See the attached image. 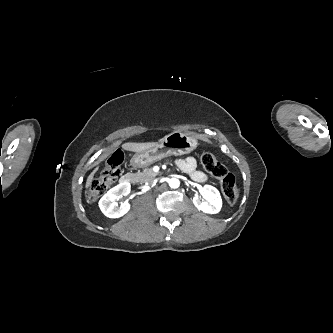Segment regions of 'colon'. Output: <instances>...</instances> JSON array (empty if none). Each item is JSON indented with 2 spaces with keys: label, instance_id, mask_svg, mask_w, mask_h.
Returning <instances> with one entry per match:
<instances>
[{
  "label": "colon",
  "instance_id": "5ec220e1",
  "mask_svg": "<svg viewBox=\"0 0 333 333\" xmlns=\"http://www.w3.org/2000/svg\"><path fill=\"white\" fill-rule=\"evenodd\" d=\"M123 160L124 152L122 149H117L111 154L101 175L92 181L88 189L87 197L90 202H96L116 181L120 174V166ZM200 161L204 169L219 181L226 201L229 204L236 203L239 197V190L236 186L234 175L210 152H203Z\"/></svg>",
  "mask_w": 333,
  "mask_h": 333
}]
</instances>
